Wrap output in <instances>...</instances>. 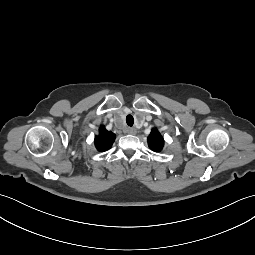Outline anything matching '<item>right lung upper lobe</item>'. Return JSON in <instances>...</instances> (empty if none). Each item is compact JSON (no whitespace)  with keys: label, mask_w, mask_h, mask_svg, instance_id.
<instances>
[{"label":"right lung upper lobe","mask_w":255,"mask_h":255,"mask_svg":"<svg viewBox=\"0 0 255 255\" xmlns=\"http://www.w3.org/2000/svg\"><path fill=\"white\" fill-rule=\"evenodd\" d=\"M115 140V134L107 131L104 126L99 129V135L95 137V146L98 151H106L111 148Z\"/></svg>","instance_id":"cb5924a9"}]
</instances>
